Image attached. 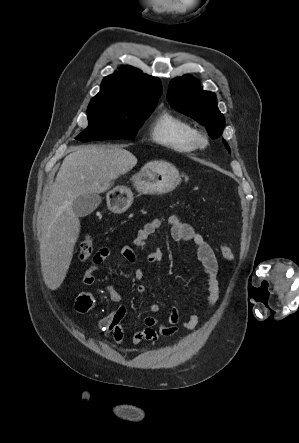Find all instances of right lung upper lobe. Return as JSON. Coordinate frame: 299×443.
Returning a JSON list of instances; mask_svg holds the SVG:
<instances>
[{"instance_id":"1","label":"right lung upper lobe","mask_w":299,"mask_h":443,"mask_svg":"<svg viewBox=\"0 0 299 443\" xmlns=\"http://www.w3.org/2000/svg\"><path fill=\"white\" fill-rule=\"evenodd\" d=\"M161 94L162 86L158 78L134 67L124 66L103 79L100 92L92 99L157 104Z\"/></svg>"}]
</instances>
